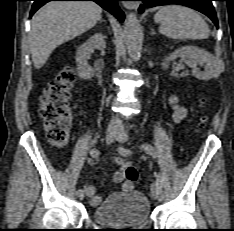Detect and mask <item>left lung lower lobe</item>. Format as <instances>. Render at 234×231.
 Returning <instances> with one entry per match:
<instances>
[{
  "label": "left lung lower lobe",
  "instance_id": "0a47b994",
  "mask_svg": "<svg viewBox=\"0 0 234 231\" xmlns=\"http://www.w3.org/2000/svg\"><path fill=\"white\" fill-rule=\"evenodd\" d=\"M143 4L140 6L139 11L142 13L145 7H154L158 5L166 4H181L198 10L207 15L218 28V21L214 7L212 5L213 0H139Z\"/></svg>",
  "mask_w": 234,
  "mask_h": 231
}]
</instances>
